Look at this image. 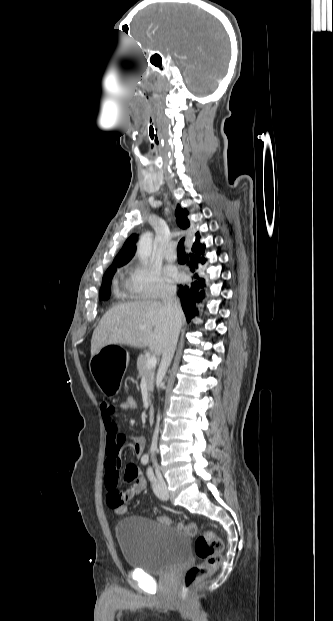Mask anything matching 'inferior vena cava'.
I'll return each instance as SVG.
<instances>
[{"label":"inferior vena cava","mask_w":333,"mask_h":621,"mask_svg":"<svg viewBox=\"0 0 333 621\" xmlns=\"http://www.w3.org/2000/svg\"><path fill=\"white\" fill-rule=\"evenodd\" d=\"M163 305L167 311V315L170 320V328L168 332V336L165 343V348L162 354V359L159 366V374L164 376L166 371L172 361L174 356V352L176 349L178 336L180 332V322H179V314L181 312L180 302L176 297V290H170L166 293L163 298ZM158 432H159V422L155 427V431L153 433L150 454L152 462L156 464L155 453L157 451V440H158Z\"/></svg>","instance_id":"602c4592"}]
</instances>
